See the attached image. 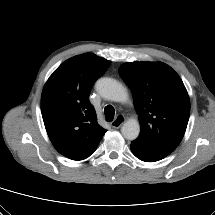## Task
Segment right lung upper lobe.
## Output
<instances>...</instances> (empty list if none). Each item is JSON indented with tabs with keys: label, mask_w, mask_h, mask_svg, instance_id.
<instances>
[{
	"label": "right lung upper lobe",
	"mask_w": 215,
	"mask_h": 215,
	"mask_svg": "<svg viewBox=\"0 0 215 215\" xmlns=\"http://www.w3.org/2000/svg\"><path fill=\"white\" fill-rule=\"evenodd\" d=\"M110 63L92 53L74 56L62 63L44 86L41 112L47 134L56 150L69 159L89 157L106 133L97 123L89 95Z\"/></svg>",
	"instance_id": "obj_1"
}]
</instances>
